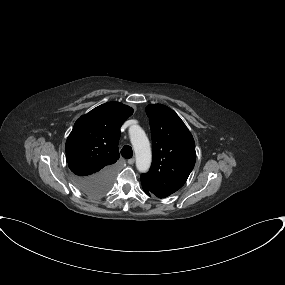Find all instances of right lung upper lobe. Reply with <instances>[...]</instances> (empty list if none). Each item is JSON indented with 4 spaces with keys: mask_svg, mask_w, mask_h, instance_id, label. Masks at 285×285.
<instances>
[{
    "mask_svg": "<svg viewBox=\"0 0 285 285\" xmlns=\"http://www.w3.org/2000/svg\"><path fill=\"white\" fill-rule=\"evenodd\" d=\"M132 113L127 105L108 102L75 122L65 150L68 166L76 176H91L114 165L120 157L121 125Z\"/></svg>",
    "mask_w": 285,
    "mask_h": 285,
    "instance_id": "cb5924a9",
    "label": "right lung upper lobe"
}]
</instances>
